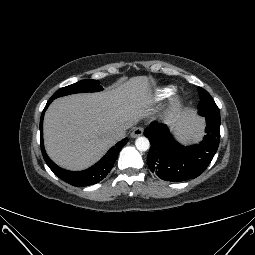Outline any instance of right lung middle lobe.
<instances>
[{
  "label": "right lung middle lobe",
  "mask_w": 255,
  "mask_h": 255,
  "mask_svg": "<svg viewBox=\"0 0 255 255\" xmlns=\"http://www.w3.org/2000/svg\"><path fill=\"white\" fill-rule=\"evenodd\" d=\"M102 89H103L102 86L98 84L97 80H89V79L82 80L57 90L49 100H53L55 98L69 95V94H74V93L97 92V91H101Z\"/></svg>",
  "instance_id": "obj_1"
}]
</instances>
